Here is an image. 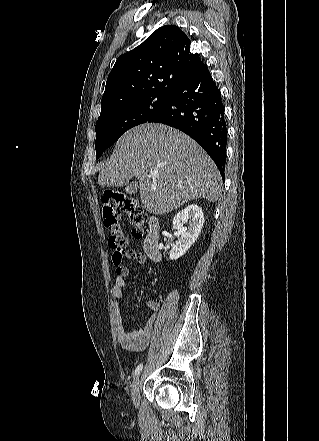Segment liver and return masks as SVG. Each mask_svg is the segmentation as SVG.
Here are the masks:
<instances>
[{
	"instance_id": "1",
	"label": "liver",
	"mask_w": 319,
	"mask_h": 441,
	"mask_svg": "<svg viewBox=\"0 0 319 441\" xmlns=\"http://www.w3.org/2000/svg\"><path fill=\"white\" fill-rule=\"evenodd\" d=\"M159 173L157 178L150 171ZM139 181L141 202L153 214H165L184 203L205 198L215 202L222 180L214 161L181 131L145 123L127 131L98 176L100 187H122Z\"/></svg>"
}]
</instances>
